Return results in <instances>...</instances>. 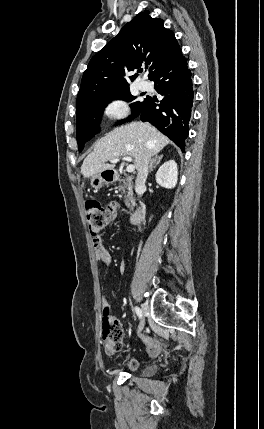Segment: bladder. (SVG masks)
Listing matches in <instances>:
<instances>
[{
  "label": "bladder",
  "instance_id": "31cf9c89",
  "mask_svg": "<svg viewBox=\"0 0 264 429\" xmlns=\"http://www.w3.org/2000/svg\"><path fill=\"white\" fill-rule=\"evenodd\" d=\"M153 370H154L153 367H147L143 370L142 374L144 376H149L153 373Z\"/></svg>",
  "mask_w": 264,
  "mask_h": 429
}]
</instances>
